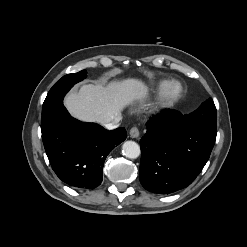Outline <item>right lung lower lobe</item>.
Here are the masks:
<instances>
[{"instance_id": "right-lung-lower-lobe-1", "label": "right lung lower lobe", "mask_w": 247, "mask_h": 247, "mask_svg": "<svg viewBox=\"0 0 247 247\" xmlns=\"http://www.w3.org/2000/svg\"><path fill=\"white\" fill-rule=\"evenodd\" d=\"M41 131L46 154L65 183L90 189L102 182L107 155L126 139L125 128L108 131L70 116L63 103L42 112Z\"/></svg>"}]
</instances>
